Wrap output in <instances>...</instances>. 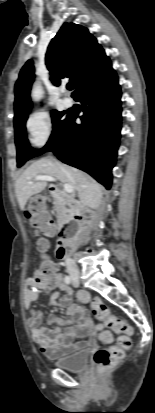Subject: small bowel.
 Wrapping results in <instances>:
<instances>
[{
    "label": "small bowel",
    "mask_w": 155,
    "mask_h": 413,
    "mask_svg": "<svg viewBox=\"0 0 155 413\" xmlns=\"http://www.w3.org/2000/svg\"><path fill=\"white\" fill-rule=\"evenodd\" d=\"M53 267L54 281L52 283H49L48 277L41 272V269H38L25 282V302L27 307L31 309L28 325L35 344L48 358L58 359L91 346L94 343L93 336L95 334L98 335L102 343H111L113 336L105 329L104 324L93 323L83 305L71 302L72 289L65 284L59 273L58 265L53 263ZM52 288L58 289V293L51 301L52 306L64 309L66 314L72 317L70 321H65L52 314H49L44 320L42 313L32 308V303L38 299L40 292ZM89 298L90 295L87 291L77 293V299L82 303L87 302ZM51 324H54L55 327L51 328L49 326ZM88 335L91 336L90 339L76 342L77 338Z\"/></svg>",
    "instance_id": "1"
}]
</instances>
